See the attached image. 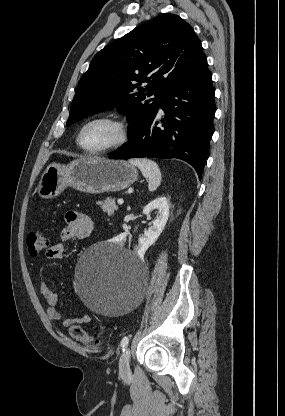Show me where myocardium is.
Returning a JSON list of instances; mask_svg holds the SVG:
<instances>
[{
	"label": "myocardium",
	"mask_w": 285,
	"mask_h": 416,
	"mask_svg": "<svg viewBox=\"0 0 285 416\" xmlns=\"http://www.w3.org/2000/svg\"><path fill=\"white\" fill-rule=\"evenodd\" d=\"M95 122H106L111 124L115 130H116V139L115 141L102 149H96V150H91L88 149L86 147H84V145L82 144V134L84 132V130L91 124L95 123ZM77 145L79 146V148L88 155H92V156H100V155H106L109 153H112L116 150H119L120 148H122L126 142L128 141V129L126 127V125L124 124L123 121H121L119 118L111 116V115H97L94 116L92 118H90L88 121H86L82 127L80 128L78 134H77Z\"/></svg>",
	"instance_id": "1"
}]
</instances>
